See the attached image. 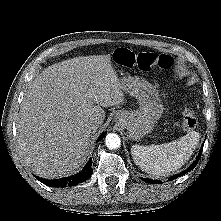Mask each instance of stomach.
Returning <instances> with one entry per match:
<instances>
[{
	"label": "stomach",
	"mask_w": 221,
	"mask_h": 221,
	"mask_svg": "<svg viewBox=\"0 0 221 221\" xmlns=\"http://www.w3.org/2000/svg\"><path fill=\"white\" fill-rule=\"evenodd\" d=\"M123 90L136 97L139 108L132 111H119L115 119L127 129L128 137L140 140L150 133L163 113V105L156 88L144 79L125 74L120 78Z\"/></svg>",
	"instance_id": "1"
}]
</instances>
